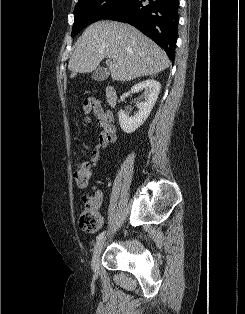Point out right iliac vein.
<instances>
[{
    "mask_svg": "<svg viewBox=\"0 0 245 314\" xmlns=\"http://www.w3.org/2000/svg\"><path fill=\"white\" fill-rule=\"evenodd\" d=\"M105 241L106 238H102L94 246L93 255L91 259V267L94 272H98L99 270V257L105 244Z\"/></svg>",
    "mask_w": 245,
    "mask_h": 314,
    "instance_id": "right-iliac-vein-1",
    "label": "right iliac vein"
}]
</instances>
